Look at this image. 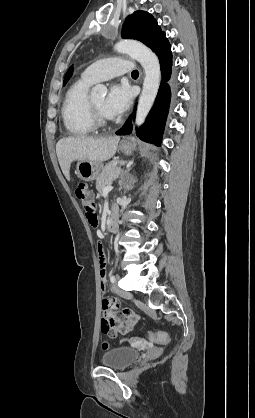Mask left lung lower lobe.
<instances>
[{
	"label": "left lung lower lobe",
	"instance_id": "1",
	"mask_svg": "<svg viewBox=\"0 0 255 418\" xmlns=\"http://www.w3.org/2000/svg\"><path fill=\"white\" fill-rule=\"evenodd\" d=\"M155 53L159 58L163 82L159 88L155 106L151 110L143 126L136 129V134L143 141L160 145L171 94L169 85L165 83L170 80L172 73V52L169 41L166 40ZM131 131L132 120L130 116L124 126L117 131L116 134L127 135L130 134Z\"/></svg>",
	"mask_w": 255,
	"mask_h": 418
}]
</instances>
